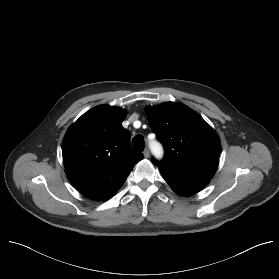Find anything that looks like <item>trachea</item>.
<instances>
[{
  "mask_svg": "<svg viewBox=\"0 0 279 279\" xmlns=\"http://www.w3.org/2000/svg\"><path fill=\"white\" fill-rule=\"evenodd\" d=\"M132 146L138 151L144 150V139L141 135H137L132 139Z\"/></svg>",
  "mask_w": 279,
  "mask_h": 279,
  "instance_id": "3493384b",
  "label": "trachea"
}]
</instances>
